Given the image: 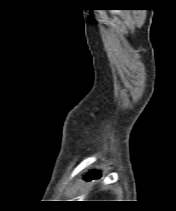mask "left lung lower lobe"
Here are the masks:
<instances>
[{"mask_svg":"<svg viewBox=\"0 0 176 211\" xmlns=\"http://www.w3.org/2000/svg\"><path fill=\"white\" fill-rule=\"evenodd\" d=\"M97 177H99V174L97 172H92V173L87 174L86 179L89 180V179H93Z\"/></svg>","mask_w":176,"mask_h":211,"instance_id":"obj_1","label":"left lung lower lobe"}]
</instances>
